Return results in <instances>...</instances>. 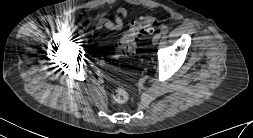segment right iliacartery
<instances>
[{
    "label": "right iliac artery",
    "instance_id": "82829eb1",
    "mask_svg": "<svg viewBox=\"0 0 253 138\" xmlns=\"http://www.w3.org/2000/svg\"><path fill=\"white\" fill-rule=\"evenodd\" d=\"M79 29V26L77 25V24H74V25H72L71 26V31L73 32V33H76V31Z\"/></svg>",
    "mask_w": 253,
    "mask_h": 138
}]
</instances>
